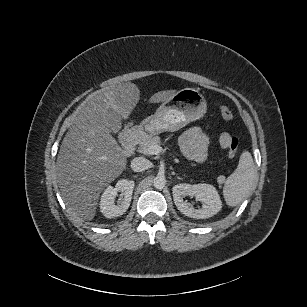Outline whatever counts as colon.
I'll list each match as a JSON object with an SVG mask.
<instances>
[{"mask_svg": "<svg viewBox=\"0 0 307 307\" xmlns=\"http://www.w3.org/2000/svg\"><path fill=\"white\" fill-rule=\"evenodd\" d=\"M220 114L222 118L226 121L232 120L233 118L232 111L226 106L220 107ZM238 145H239L238 140L236 138H232L230 141V145L228 147V151H227V156L229 158H233L236 156L237 151H238Z\"/></svg>", "mask_w": 307, "mask_h": 307, "instance_id": "5ec220e1", "label": "colon"}]
</instances>
